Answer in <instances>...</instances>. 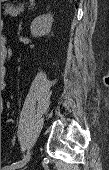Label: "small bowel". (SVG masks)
<instances>
[{
	"mask_svg": "<svg viewBox=\"0 0 109 170\" xmlns=\"http://www.w3.org/2000/svg\"><path fill=\"white\" fill-rule=\"evenodd\" d=\"M1 43H2V45H5L6 44V40L5 39H1Z\"/></svg>",
	"mask_w": 109,
	"mask_h": 170,
	"instance_id": "obj_1",
	"label": "small bowel"
}]
</instances>
